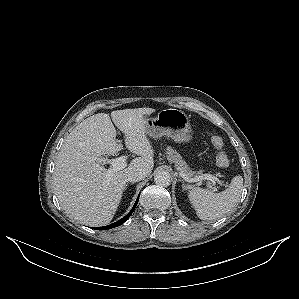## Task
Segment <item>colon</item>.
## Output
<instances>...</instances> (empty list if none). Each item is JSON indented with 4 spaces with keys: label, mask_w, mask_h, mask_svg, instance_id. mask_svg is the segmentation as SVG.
<instances>
[{
    "label": "colon",
    "mask_w": 299,
    "mask_h": 299,
    "mask_svg": "<svg viewBox=\"0 0 299 299\" xmlns=\"http://www.w3.org/2000/svg\"><path fill=\"white\" fill-rule=\"evenodd\" d=\"M210 141L213 147L216 149V164L220 168H225L229 164V158L224 150V141L218 135H212Z\"/></svg>",
    "instance_id": "colon-1"
}]
</instances>
